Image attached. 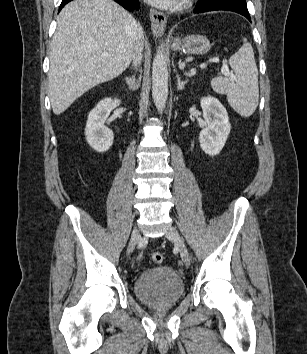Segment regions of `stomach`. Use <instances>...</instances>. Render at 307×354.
<instances>
[{
  "instance_id": "1",
  "label": "stomach",
  "mask_w": 307,
  "mask_h": 354,
  "mask_svg": "<svg viewBox=\"0 0 307 354\" xmlns=\"http://www.w3.org/2000/svg\"><path fill=\"white\" fill-rule=\"evenodd\" d=\"M172 48L187 54L202 55L211 49V44L207 37L200 34H191L183 39L175 38L172 42Z\"/></svg>"
}]
</instances>
